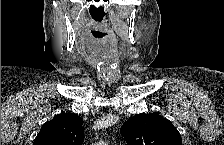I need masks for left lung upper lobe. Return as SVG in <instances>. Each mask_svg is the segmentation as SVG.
<instances>
[{
	"instance_id": "left-lung-upper-lobe-1",
	"label": "left lung upper lobe",
	"mask_w": 224,
	"mask_h": 145,
	"mask_svg": "<svg viewBox=\"0 0 224 145\" xmlns=\"http://www.w3.org/2000/svg\"><path fill=\"white\" fill-rule=\"evenodd\" d=\"M120 132L128 145H182L177 129L157 113L135 115Z\"/></svg>"
}]
</instances>
